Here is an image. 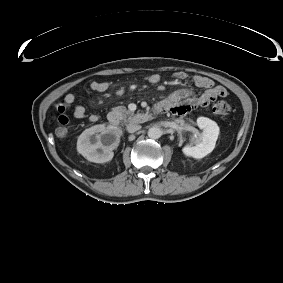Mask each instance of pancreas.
I'll use <instances>...</instances> for the list:
<instances>
[{
	"label": "pancreas",
	"mask_w": 283,
	"mask_h": 283,
	"mask_svg": "<svg viewBox=\"0 0 283 283\" xmlns=\"http://www.w3.org/2000/svg\"><path fill=\"white\" fill-rule=\"evenodd\" d=\"M112 114L118 117L125 123H138L142 122L141 114H134V112L128 110L125 106H118L112 109Z\"/></svg>",
	"instance_id": "obj_1"
}]
</instances>
